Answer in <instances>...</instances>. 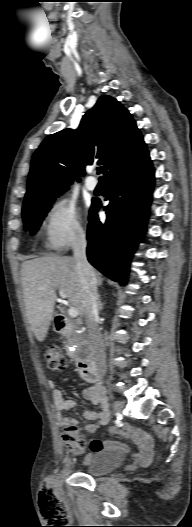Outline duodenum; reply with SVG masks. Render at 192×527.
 I'll use <instances>...</instances> for the list:
<instances>
[{
  "mask_svg": "<svg viewBox=\"0 0 192 527\" xmlns=\"http://www.w3.org/2000/svg\"><path fill=\"white\" fill-rule=\"evenodd\" d=\"M55 324L58 332L64 336L71 334L73 331V325L61 314L56 316ZM78 369L84 380L91 383L100 381L97 366L92 358L78 360Z\"/></svg>",
  "mask_w": 192,
  "mask_h": 527,
  "instance_id": "1",
  "label": "duodenum"
}]
</instances>
